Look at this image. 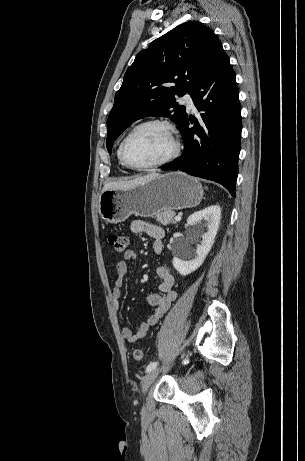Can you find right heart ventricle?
<instances>
[{
    "instance_id": "e07e8e85",
    "label": "right heart ventricle",
    "mask_w": 305,
    "mask_h": 461,
    "mask_svg": "<svg viewBox=\"0 0 305 461\" xmlns=\"http://www.w3.org/2000/svg\"><path fill=\"white\" fill-rule=\"evenodd\" d=\"M121 143H122V141H120V143L118 144V147H117V150H116V155H117L119 163L123 167H127L126 164L123 162L122 157H121Z\"/></svg>"
}]
</instances>
